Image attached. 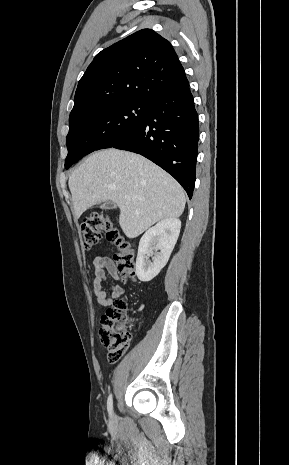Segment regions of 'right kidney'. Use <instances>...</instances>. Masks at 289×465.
<instances>
[{"label":"right kidney","instance_id":"obj_1","mask_svg":"<svg viewBox=\"0 0 289 465\" xmlns=\"http://www.w3.org/2000/svg\"><path fill=\"white\" fill-rule=\"evenodd\" d=\"M180 228L179 219L167 218L149 228L141 237L136 259V274L140 281H151L166 265L177 242Z\"/></svg>","mask_w":289,"mask_h":465}]
</instances>
